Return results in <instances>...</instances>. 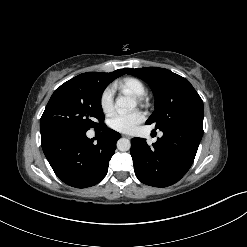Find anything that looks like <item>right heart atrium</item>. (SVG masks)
I'll list each match as a JSON object with an SVG mask.
<instances>
[{"instance_id": "right-heart-atrium-1", "label": "right heart atrium", "mask_w": 247, "mask_h": 247, "mask_svg": "<svg viewBox=\"0 0 247 247\" xmlns=\"http://www.w3.org/2000/svg\"><path fill=\"white\" fill-rule=\"evenodd\" d=\"M114 97L111 89L103 91L100 97V106L104 113L109 114L113 110Z\"/></svg>"}]
</instances>
